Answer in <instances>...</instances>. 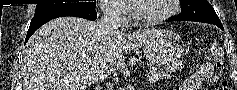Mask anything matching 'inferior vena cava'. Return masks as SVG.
Segmentation results:
<instances>
[{"instance_id": "inferior-vena-cava-1", "label": "inferior vena cava", "mask_w": 237, "mask_h": 90, "mask_svg": "<svg viewBox=\"0 0 237 90\" xmlns=\"http://www.w3.org/2000/svg\"><path fill=\"white\" fill-rule=\"evenodd\" d=\"M103 16L99 20V26L101 32H105L107 36L111 34H117L119 28H121V16L123 12V6L120 4H103L100 8ZM109 72H106L105 64H99L97 70L93 72V84H99V82H104L107 78ZM95 90H102L100 86H96Z\"/></svg>"}]
</instances>
